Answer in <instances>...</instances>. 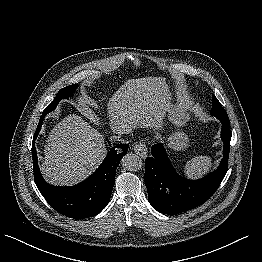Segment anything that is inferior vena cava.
Segmentation results:
<instances>
[{"label": "inferior vena cava", "instance_id": "inferior-vena-cava-1", "mask_svg": "<svg viewBox=\"0 0 262 262\" xmlns=\"http://www.w3.org/2000/svg\"><path fill=\"white\" fill-rule=\"evenodd\" d=\"M127 134H128V133H127ZM113 138H114V140H116V141L119 142V143H126V142H128V141H126V140H124V139H121L120 135L114 136Z\"/></svg>", "mask_w": 262, "mask_h": 262}]
</instances>
